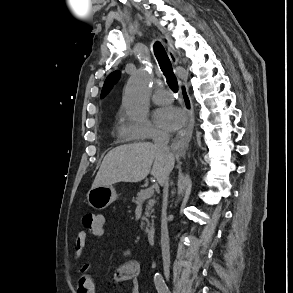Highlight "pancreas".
Returning a JSON list of instances; mask_svg holds the SVG:
<instances>
[{"label":"pancreas","mask_w":293,"mask_h":293,"mask_svg":"<svg viewBox=\"0 0 293 293\" xmlns=\"http://www.w3.org/2000/svg\"><path fill=\"white\" fill-rule=\"evenodd\" d=\"M145 193H146V190H141L140 192H138L137 197L133 198L132 202L135 204L144 203L148 199V198H145ZM154 204H155L154 199L148 200L145 214L142 217V220L145 221V223H142L141 225L143 226L147 224L145 232H148V233H151L153 231V225H150L149 218L151 217V214L154 212V209H153Z\"/></svg>","instance_id":"cf45deb5"}]
</instances>
